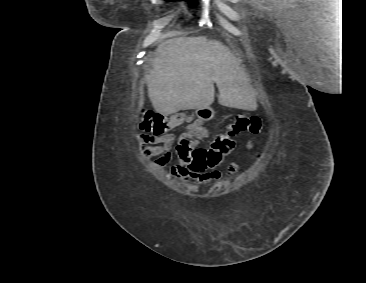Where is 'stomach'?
Here are the masks:
<instances>
[{"mask_svg": "<svg viewBox=\"0 0 366 283\" xmlns=\"http://www.w3.org/2000/svg\"><path fill=\"white\" fill-rule=\"evenodd\" d=\"M214 110L211 107L197 108L196 115L200 120L209 121L214 117Z\"/></svg>", "mask_w": 366, "mask_h": 283, "instance_id": "stomach-1", "label": "stomach"}]
</instances>
